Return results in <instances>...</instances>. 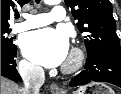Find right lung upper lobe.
Instances as JSON below:
<instances>
[{"label": "right lung upper lobe", "mask_w": 121, "mask_h": 94, "mask_svg": "<svg viewBox=\"0 0 121 94\" xmlns=\"http://www.w3.org/2000/svg\"><path fill=\"white\" fill-rule=\"evenodd\" d=\"M30 0H1V30L9 29L8 20L10 19V12L14 11L16 7H22Z\"/></svg>", "instance_id": "cb5924a9"}]
</instances>
